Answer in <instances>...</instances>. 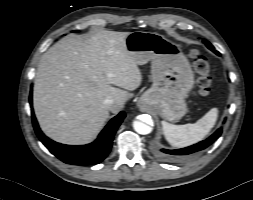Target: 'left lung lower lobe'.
Here are the masks:
<instances>
[{"label":"left lung lower lobe","instance_id":"0a47b994","mask_svg":"<svg viewBox=\"0 0 253 200\" xmlns=\"http://www.w3.org/2000/svg\"><path fill=\"white\" fill-rule=\"evenodd\" d=\"M219 55V54H217ZM222 129L219 128L214 134H212L209 138L206 140L200 141L197 144H194L192 146L182 148V149H177V150H166L162 149L161 152L167 155L171 156H177L179 158H186V157H191L194 156L195 154L201 152L202 150L206 149L209 147L213 142H215L221 135ZM163 157H167L162 155Z\"/></svg>","mask_w":253,"mask_h":200}]
</instances>
